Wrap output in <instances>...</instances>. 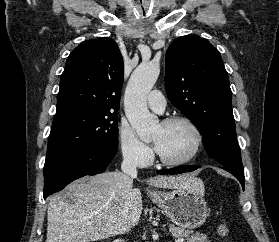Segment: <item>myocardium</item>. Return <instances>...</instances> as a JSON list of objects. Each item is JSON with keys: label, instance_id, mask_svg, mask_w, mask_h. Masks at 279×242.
I'll list each match as a JSON object with an SVG mask.
<instances>
[{"label": "myocardium", "instance_id": "myocardium-1", "mask_svg": "<svg viewBox=\"0 0 279 242\" xmlns=\"http://www.w3.org/2000/svg\"><path fill=\"white\" fill-rule=\"evenodd\" d=\"M174 123H183L191 129V131L194 135V144H193L191 151L188 153V155H186L183 158L176 159V160L167 159L157 151L158 160L162 164H164L166 166H172V167L182 166V165H185V164L189 163L190 161H192L198 155V153L201 150L202 145H203L202 131L199 128V126L191 118L182 116V115H174V116H170V117L163 119L160 124L171 125Z\"/></svg>", "mask_w": 279, "mask_h": 242}]
</instances>
